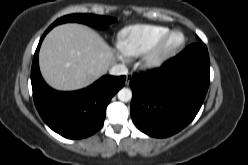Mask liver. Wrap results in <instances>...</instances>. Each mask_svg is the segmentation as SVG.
<instances>
[{
  "mask_svg": "<svg viewBox=\"0 0 248 165\" xmlns=\"http://www.w3.org/2000/svg\"><path fill=\"white\" fill-rule=\"evenodd\" d=\"M113 61V52L103 38L76 23L53 28L39 53L43 78L51 87L62 91L89 86L107 73Z\"/></svg>",
  "mask_w": 248,
  "mask_h": 165,
  "instance_id": "obj_1",
  "label": "liver"
}]
</instances>
